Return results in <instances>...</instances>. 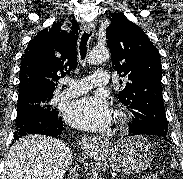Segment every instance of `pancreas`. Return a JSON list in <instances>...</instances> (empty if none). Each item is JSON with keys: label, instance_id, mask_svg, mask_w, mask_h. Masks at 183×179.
<instances>
[{"label": "pancreas", "instance_id": "1", "mask_svg": "<svg viewBox=\"0 0 183 179\" xmlns=\"http://www.w3.org/2000/svg\"><path fill=\"white\" fill-rule=\"evenodd\" d=\"M141 179H159L158 176L156 174H153L151 176H147V177H142Z\"/></svg>", "mask_w": 183, "mask_h": 179}]
</instances>
